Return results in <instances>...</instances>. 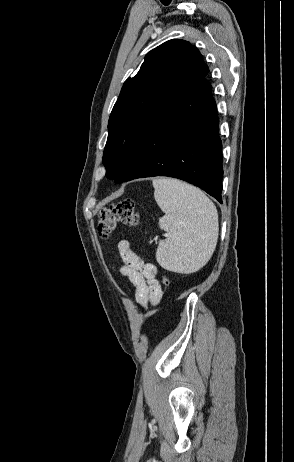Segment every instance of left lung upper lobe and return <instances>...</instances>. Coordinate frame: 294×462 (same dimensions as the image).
I'll return each mask as SVG.
<instances>
[{"label": "left lung upper lobe", "mask_w": 294, "mask_h": 462, "mask_svg": "<svg viewBox=\"0 0 294 462\" xmlns=\"http://www.w3.org/2000/svg\"><path fill=\"white\" fill-rule=\"evenodd\" d=\"M208 72L199 50L184 40H169L145 56L137 75L125 81L109 118L103 153L107 178L116 176L156 111Z\"/></svg>", "instance_id": "left-lung-upper-lobe-1"}]
</instances>
